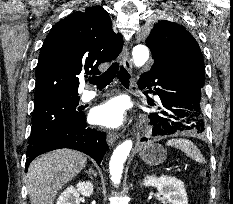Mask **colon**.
Segmentation results:
<instances>
[{
    "mask_svg": "<svg viewBox=\"0 0 233 204\" xmlns=\"http://www.w3.org/2000/svg\"><path fill=\"white\" fill-rule=\"evenodd\" d=\"M201 176L203 177V179H207L208 178V172L206 170H202L201 171Z\"/></svg>",
    "mask_w": 233,
    "mask_h": 204,
    "instance_id": "obj_1",
    "label": "colon"
}]
</instances>
